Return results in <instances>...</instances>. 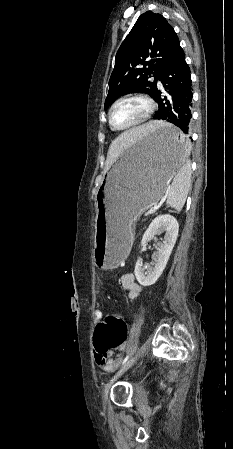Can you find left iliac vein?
Returning a JSON list of instances; mask_svg holds the SVG:
<instances>
[{
    "mask_svg": "<svg viewBox=\"0 0 233 449\" xmlns=\"http://www.w3.org/2000/svg\"><path fill=\"white\" fill-rule=\"evenodd\" d=\"M137 358H138V355H135L132 358H130L129 360H127L124 363V365L120 368V370L106 384L104 392H103V399H104L105 405L107 404L109 390H110L112 384L136 362Z\"/></svg>",
    "mask_w": 233,
    "mask_h": 449,
    "instance_id": "left-iliac-vein-1",
    "label": "left iliac vein"
}]
</instances>
